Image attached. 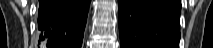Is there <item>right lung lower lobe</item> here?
Returning <instances> with one entry per match:
<instances>
[{"label": "right lung lower lobe", "mask_w": 213, "mask_h": 48, "mask_svg": "<svg viewBox=\"0 0 213 48\" xmlns=\"http://www.w3.org/2000/svg\"><path fill=\"white\" fill-rule=\"evenodd\" d=\"M90 0H41L39 43L47 48H81Z\"/></svg>", "instance_id": "98d812e1"}]
</instances>
